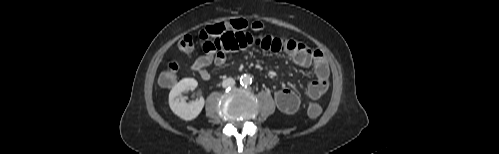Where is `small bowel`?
<instances>
[{
  "instance_id": "c3829d8e",
  "label": "small bowel",
  "mask_w": 499,
  "mask_h": 154,
  "mask_svg": "<svg viewBox=\"0 0 499 154\" xmlns=\"http://www.w3.org/2000/svg\"><path fill=\"white\" fill-rule=\"evenodd\" d=\"M202 48L204 54L193 62L191 69L204 80L210 78L208 66L224 64L229 53L247 48H259L286 55L301 67L314 68L315 78L305 93L307 99L317 100L329 88V66L324 54L320 50L311 49L304 43L279 34L230 30L205 41ZM274 100L277 108L286 114L295 113L300 106V97L287 88L277 90L274 93Z\"/></svg>"
}]
</instances>
